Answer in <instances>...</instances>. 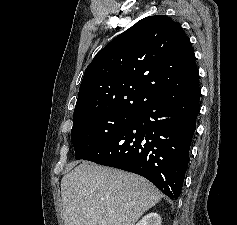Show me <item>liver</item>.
Masks as SVG:
<instances>
[{"instance_id": "1", "label": "liver", "mask_w": 237, "mask_h": 225, "mask_svg": "<svg viewBox=\"0 0 237 225\" xmlns=\"http://www.w3.org/2000/svg\"><path fill=\"white\" fill-rule=\"evenodd\" d=\"M64 225H135L161 199L145 178L84 161L61 180Z\"/></svg>"}]
</instances>
